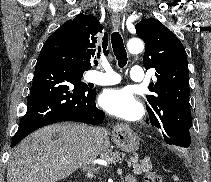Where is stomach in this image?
Instances as JSON below:
<instances>
[{
	"label": "stomach",
	"mask_w": 211,
	"mask_h": 182,
	"mask_svg": "<svg viewBox=\"0 0 211 182\" xmlns=\"http://www.w3.org/2000/svg\"><path fill=\"white\" fill-rule=\"evenodd\" d=\"M112 136L115 145L126 152L133 153L139 148V137L130 130H116Z\"/></svg>",
	"instance_id": "stomach-1"
}]
</instances>
